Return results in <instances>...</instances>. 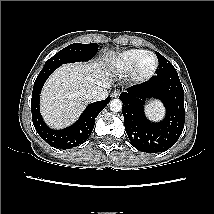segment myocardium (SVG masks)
Listing matches in <instances>:
<instances>
[{
    "instance_id": "obj_1",
    "label": "myocardium",
    "mask_w": 214,
    "mask_h": 214,
    "mask_svg": "<svg viewBox=\"0 0 214 214\" xmlns=\"http://www.w3.org/2000/svg\"><path fill=\"white\" fill-rule=\"evenodd\" d=\"M147 55L152 56L155 59V63L151 70L144 72L141 70V62H142L143 58ZM158 67H159V60H158V57L156 56V54L151 51H145L133 65L131 72H130L131 78L136 83L147 82L156 74Z\"/></svg>"
}]
</instances>
